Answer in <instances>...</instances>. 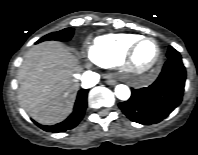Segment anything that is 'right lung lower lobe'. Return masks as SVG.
Listing matches in <instances>:
<instances>
[{"label":"right lung lower lobe","mask_w":198,"mask_h":155,"mask_svg":"<svg viewBox=\"0 0 198 155\" xmlns=\"http://www.w3.org/2000/svg\"><path fill=\"white\" fill-rule=\"evenodd\" d=\"M87 94L88 90L81 89L78 92V96L75 102L73 113L63 122L52 126L40 125L36 123L40 128L47 132H64L68 129L74 128L83 118L87 107Z\"/></svg>","instance_id":"1"}]
</instances>
